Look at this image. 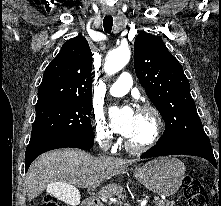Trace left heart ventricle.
Masks as SVG:
<instances>
[{"label":"left heart ventricle","mask_w":221,"mask_h":206,"mask_svg":"<svg viewBox=\"0 0 221 206\" xmlns=\"http://www.w3.org/2000/svg\"><path fill=\"white\" fill-rule=\"evenodd\" d=\"M152 128L153 125L150 116L138 112L135 128L128 140L133 144H141L151 136Z\"/></svg>","instance_id":"b2bd125f"}]
</instances>
